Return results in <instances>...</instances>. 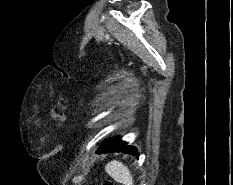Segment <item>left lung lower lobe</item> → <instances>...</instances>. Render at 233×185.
<instances>
[{"instance_id": "1", "label": "left lung lower lobe", "mask_w": 233, "mask_h": 185, "mask_svg": "<svg viewBox=\"0 0 233 185\" xmlns=\"http://www.w3.org/2000/svg\"><path fill=\"white\" fill-rule=\"evenodd\" d=\"M107 152H124L134 156H139L135 147L126 145V142L121 141L119 137L111 138L98 150V153Z\"/></svg>"}]
</instances>
